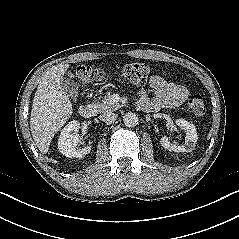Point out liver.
Returning a JSON list of instances; mask_svg holds the SVG:
<instances>
[{
  "mask_svg": "<svg viewBox=\"0 0 239 239\" xmlns=\"http://www.w3.org/2000/svg\"><path fill=\"white\" fill-rule=\"evenodd\" d=\"M69 64L50 68L42 76L32 103L30 128L41 153L48 152L52 138L72 115V104L61 87Z\"/></svg>",
  "mask_w": 239,
  "mask_h": 239,
  "instance_id": "1",
  "label": "liver"
}]
</instances>
